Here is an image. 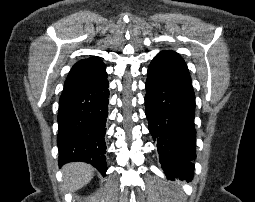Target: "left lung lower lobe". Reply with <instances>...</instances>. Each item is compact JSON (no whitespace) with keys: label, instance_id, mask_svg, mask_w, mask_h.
<instances>
[{"label":"left lung lower lobe","instance_id":"1","mask_svg":"<svg viewBox=\"0 0 255 202\" xmlns=\"http://www.w3.org/2000/svg\"><path fill=\"white\" fill-rule=\"evenodd\" d=\"M146 117L167 177L191 180L195 159V95L147 73Z\"/></svg>","mask_w":255,"mask_h":202}]
</instances>
